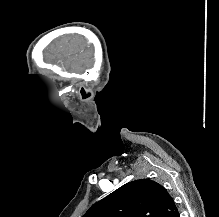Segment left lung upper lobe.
Listing matches in <instances>:
<instances>
[{
  "label": "left lung upper lobe",
  "mask_w": 219,
  "mask_h": 217,
  "mask_svg": "<svg viewBox=\"0 0 219 217\" xmlns=\"http://www.w3.org/2000/svg\"><path fill=\"white\" fill-rule=\"evenodd\" d=\"M173 198L159 183L135 180L95 203L83 217H177Z\"/></svg>",
  "instance_id": "obj_1"
}]
</instances>
